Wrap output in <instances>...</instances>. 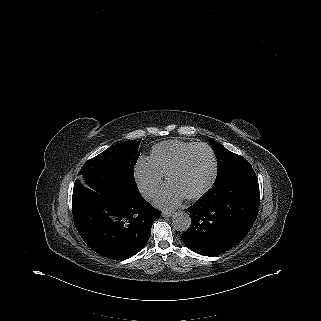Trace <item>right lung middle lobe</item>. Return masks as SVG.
I'll list each match as a JSON object with an SVG mask.
<instances>
[{"instance_id": "obj_1", "label": "right lung middle lobe", "mask_w": 321, "mask_h": 321, "mask_svg": "<svg viewBox=\"0 0 321 321\" xmlns=\"http://www.w3.org/2000/svg\"><path fill=\"white\" fill-rule=\"evenodd\" d=\"M139 144L136 140L120 142L88 160L74 184L73 202L94 197L126 200L139 195L133 173Z\"/></svg>"}]
</instances>
